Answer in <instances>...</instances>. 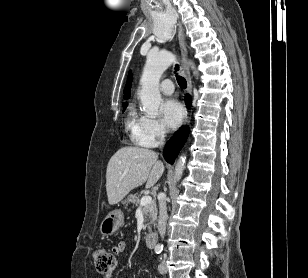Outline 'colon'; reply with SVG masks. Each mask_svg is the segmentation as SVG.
Masks as SVG:
<instances>
[{
    "label": "colon",
    "mask_w": 308,
    "mask_h": 278,
    "mask_svg": "<svg viewBox=\"0 0 308 278\" xmlns=\"http://www.w3.org/2000/svg\"><path fill=\"white\" fill-rule=\"evenodd\" d=\"M93 263L98 272L108 273L115 264V255L112 250L98 248L93 253Z\"/></svg>",
    "instance_id": "1"
}]
</instances>
